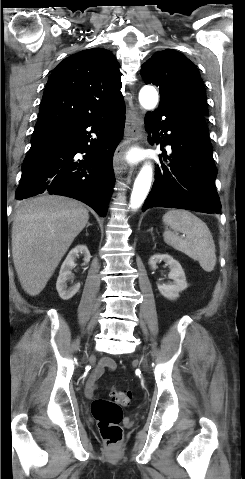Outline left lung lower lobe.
Segmentation results:
<instances>
[{
  "label": "left lung lower lobe",
  "mask_w": 245,
  "mask_h": 479,
  "mask_svg": "<svg viewBox=\"0 0 245 479\" xmlns=\"http://www.w3.org/2000/svg\"><path fill=\"white\" fill-rule=\"evenodd\" d=\"M145 128L162 148L171 145L172 154L163 153L156 168L155 181L142 211L152 207L188 209L209 214L220 213L215 188L217 169L205 116L194 112H170L158 107L145 117ZM163 140L158 136V132Z\"/></svg>",
  "instance_id": "1"
}]
</instances>
